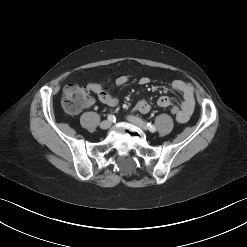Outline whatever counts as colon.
Returning a JSON list of instances; mask_svg holds the SVG:
<instances>
[{"instance_id": "obj_1", "label": "colon", "mask_w": 247, "mask_h": 247, "mask_svg": "<svg viewBox=\"0 0 247 247\" xmlns=\"http://www.w3.org/2000/svg\"><path fill=\"white\" fill-rule=\"evenodd\" d=\"M88 99V94L85 88L77 84H71L64 89L62 105L68 113L76 114L86 106ZM179 112L180 108L177 106H172L170 108V113L175 118H177Z\"/></svg>"}]
</instances>
